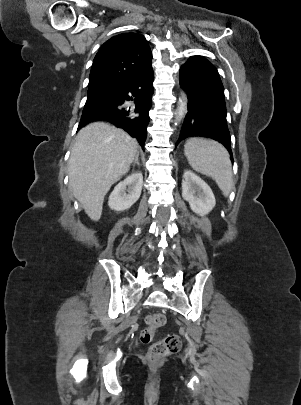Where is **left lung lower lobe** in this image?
Here are the masks:
<instances>
[{
  "label": "left lung lower lobe",
  "instance_id": "1",
  "mask_svg": "<svg viewBox=\"0 0 301 405\" xmlns=\"http://www.w3.org/2000/svg\"><path fill=\"white\" fill-rule=\"evenodd\" d=\"M179 81L187 92L188 113L176 146L187 137H206L220 142L232 157L224 87L216 67L203 56H192L181 66Z\"/></svg>",
  "mask_w": 301,
  "mask_h": 405
}]
</instances>
